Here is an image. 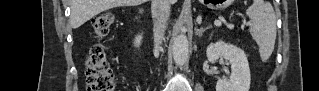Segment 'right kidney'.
Returning <instances> with one entry per match:
<instances>
[{
    "instance_id": "ca27d5eb",
    "label": "right kidney",
    "mask_w": 319,
    "mask_h": 91,
    "mask_svg": "<svg viewBox=\"0 0 319 91\" xmlns=\"http://www.w3.org/2000/svg\"><path fill=\"white\" fill-rule=\"evenodd\" d=\"M141 40H142V36L138 35V36L135 38V40H134V45H135L136 47H139L140 44H141Z\"/></svg>"
}]
</instances>
